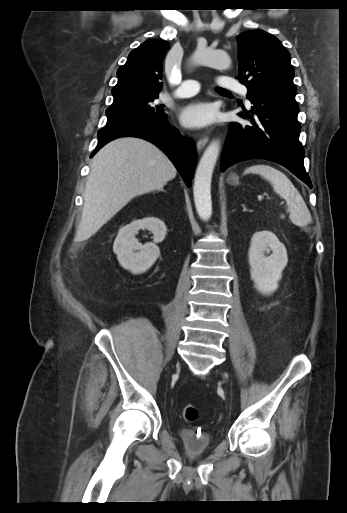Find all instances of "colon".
<instances>
[{"label": "colon", "instance_id": "obj_1", "mask_svg": "<svg viewBox=\"0 0 347 513\" xmlns=\"http://www.w3.org/2000/svg\"><path fill=\"white\" fill-rule=\"evenodd\" d=\"M181 413L183 418L187 422H193L198 418V410L197 408L189 403H186L181 408Z\"/></svg>", "mask_w": 347, "mask_h": 513}]
</instances>
